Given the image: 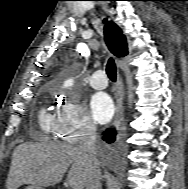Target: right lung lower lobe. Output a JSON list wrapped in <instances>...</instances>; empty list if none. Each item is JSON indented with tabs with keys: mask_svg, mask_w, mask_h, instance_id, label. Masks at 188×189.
I'll list each match as a JSON object with an SVG mask.
<instances>
[{
	"mask_svg": "<svg viewBox=\"0 0 188 189\" xmlns=\"http://www.w3.org/2000/svg\"><path fill=\"white\" fill-rule=\"evenodd\" d=\"M103 139L108 143H112L115 140V131L114 129H108L103 133Z\"/></svg>",
	"mask_w": 188,
	"mask_h": 189,
	"instance_id": "obj_1",
	"label": "right lung lower lobe"
}]
</instances>
